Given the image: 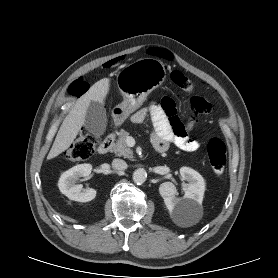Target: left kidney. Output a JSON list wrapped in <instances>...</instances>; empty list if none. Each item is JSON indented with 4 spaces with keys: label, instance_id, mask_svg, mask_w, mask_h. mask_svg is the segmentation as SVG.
<instances>
[{
    "label": "left kidney",
    "instance_id": "obj_1",
    "mask_svg": "<svg viewBox=\"0 0 278 278\" xmlns=\"http://www.w3.org/2000/svg\"><path fill=\"white\" fill-rule=\"evenodd\" d=\"M180 175L183 180L188 182L185 184L183 198L177 197L178 192L171 182L162 183L159 187V193L164 199L170 214L175 219H186L201 210L205 181L197 171L189 167H182Z\"/></svg>",
    "mask_w": 278,
    "mask_h": 278
}]
</instances>
